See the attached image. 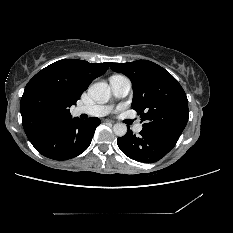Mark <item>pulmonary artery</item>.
Instances as JSON below:
<instances>
[{
  "label": "pulmonary artery",
  "mask_w": 233,
  "mask_h": 233,
  "mask_svg": "<svg viewBox=\"0 0 233 233\" xmlns=\"http://www.w3.org/2000/svg\"><path fill=\"white\" fill-rule=\"evenodd\" d=\"M110 87L112 93L117 98H123L128 95L131 89V81L128 77L123 75H113L109 79ZM111 110L110 106L102 105V104H93V105H81L74 109L75 115L86 114L89 116H105ZM134 130L136 132H140L142 130L141 124H136L134 126Z\"/></svg>",
  "instance_id": "1"
}]
</instances>
